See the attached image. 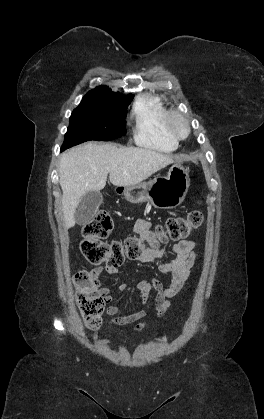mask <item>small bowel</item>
<instances>
[{"label": "small bowel", "mask_w": 264, "mask_h": 419, "mask_svg": "<svg viewBox=\"0 0 264 419\" xmlns=\"http://www.w3.org/2000/svg\"><path fill=\"white\" fill-rule=\"evenodd\" d=\"M151 223L147 220H138L134 226V232L140 237L150 230ZM196 242L193 240H181L174 244L171 248V259L164 261L162 260L165 253L147 249L144 251L139 261L142 263H155L159 271L165 275L171 277V281L168 286H164L163 283L157 278H151L150 280H142L135 285V289L141 296L144 307L136 312L130 314H122V309L118 306L110 305L107 308V313L111 316L110 323L115 326H125L135 322H138L146 316V305L149 301L152 292H156L155 306L159 317L163 316L170 306V299L176 297L182 290L186 280L188 279L191 268L196 262L197 254L195 252ZM105 270L104 267L98 266L90 271L88 274L95 281L98 290L101 295L105 298L106 302H111L113 296L109 288L101 287L100 276ZM109 273H116L117 269L106 267ZM120 290L126 289L125 283H120ZM149 322L137 323L133 331L139 332L146 328Z\"/></svg>", "instance_id": "small-bowel-1"}]
</instances>
